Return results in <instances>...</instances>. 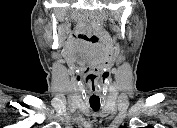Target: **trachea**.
Masks as SVG:
<instances>
[{
  "instance_id": "1",
  "label": "trachea",
  "mask_w": 177,
  "mask_h": 128,
  "mask_svg": "<svg viewBox=\"0 0 177 128\" xmlns=\"http://www.w3.org/2000/svg\"><path fill=\"white\" fill-rule=\"evenodd\" d=\"M91 108L94 110V111H98L100 109V106H91Z\"/></svg>"
}]
</instances>
